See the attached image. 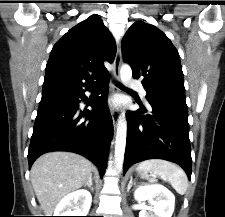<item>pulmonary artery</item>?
I'll return each mask as SVG.
<instances>
[{"instance_id":"obj_1","label":"pulmonary artery","mask_w":225,"mask_h":217,"mask_svg":"<svg viewBox=\"0 0 225 217\" xmlns=\"http://www.w3.org/2000/svg\"><path fill=\"white\" fill-rule=\"evenodd\" d=\"M131 86H132V88H134L135 90H137L141 94V96L143 98H145L146 91H145V89L143 88V86L140 83H132Z\"/></svg>"}]
</instances>
